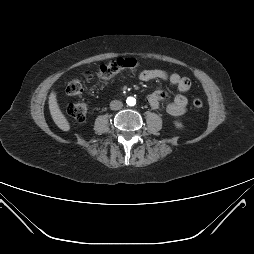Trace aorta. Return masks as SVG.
Masks as SVG:
<instances>
[{
  "instance_id": "762f6f07",
  "label": "aorta",
  "mask_w": 254,
  "mask_h": 254,
  "mask_svg": "<svg viewBox=\"0 0 254 254\" xmlns=\"http://www.w3.org/2000/svg\"><path fill=\"white\" fill-rule=\"evenodd\" d=\"M126 103L129 106H134L136 104V99L134 97H128Z\"/></svg>"
}]
</instances>
